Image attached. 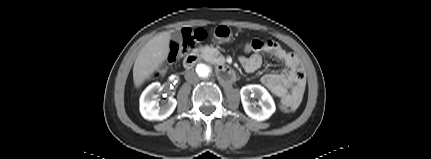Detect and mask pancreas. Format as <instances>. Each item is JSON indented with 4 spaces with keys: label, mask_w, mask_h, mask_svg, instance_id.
I'll return each mask as SVG.
<instances>
[{
    "label": "pancreas",
    "mask_w": 431,
    "mask_h": 159,
    "mask_svg": "<svg viewBox=\"0 0 431 159\" xmlns=\"http://www.w3.org/2000/svg\"><path fill=\"white\" fill-rule=\"evenodd\" d=\"M200 52L202 57L209 62L217 61L218 56L220 55V52L217 49L210 46L201 47Z\"/></svg>",
    "instance_id": "pancreas-1"
}]
</instances>
